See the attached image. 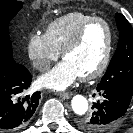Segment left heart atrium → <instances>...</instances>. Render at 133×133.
<instances>
[{
  "instance_id": "1",
  "label": "left heart atrium",
  "mask_w": 133,
  "mask_h": 133,
  "mask_svg": "<svg viewBox=\"0 0 133 133\" xmlns=\"http://www.w3.org/2000/svg\"><path fill=\"white\" fill-rule=\"evenodd\" d=\"M79 77L77 70L64 59L50 71L40 76L37 82L43 88L61 91L69 87Z\"/></svg>"
}]
</instances>
